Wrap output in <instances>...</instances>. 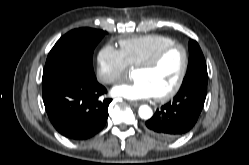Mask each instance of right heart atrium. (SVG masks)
Returning a JSON list of instances; mask_svg holds the SVG:
<instances>
[{
	"label": "right heart atrium",
	"mask_w": 249,
	"mask_h": 165,
	"mask_svg": "<svg viewBox=\"0 0 249 165\" xmlns=\"http://www.w3.org/2000/svg\"><path fill=\"white\" fill-rule=\"evenodd\" d=\"M128 65L120 50L105 45L97 55L96 73L105 84H114L126 74Z\"/></svg>",
	"instance_id": "d8ad5b80"
}]
</instances>
